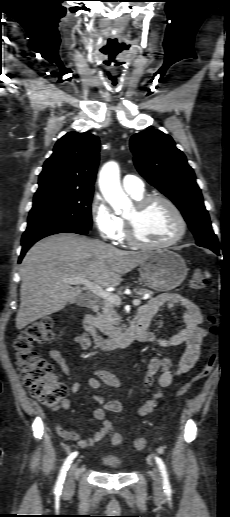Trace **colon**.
Returning a JSON list of instances; mask_svg holds the SVG:
<instances>
[{
	"label": "colon",
	"instance_id": "colon-1",
	"mask_svg": "<svg viewBox=\"0 0 230 517\" xmlns=\"http://www.w3.org/2000/svg\"><path fill=\"white\" fill-rule=\"evenodd\" d=\"M194 289H203L207 285V278L202 270H196L190 280ZM210 332L216 335L219 331L216 319L210 315ZM53 339L52 321L49 318H42L27 325L16 336L13 344L14 361L18 367L24 385L29 389L32 396L47 407H55L67 395L68 390L65 384L61 383L54 372L53 366L47 360L34 352V344L48 342ZM217 355L211 352L205 364L176 392L175 397L183 396L195 382L207 377L215 366ZM112 429V424L109 426ZM112 443L120 441V437L114 433L110 435ZM137 450L146 447V441L137 437L133 441Z\"/></svg>",
	"mask_w": 230,
	"mask_h": 517
}]
</instances>
